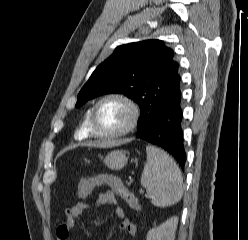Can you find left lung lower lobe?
I'll return each instance as SVG.
<instances>
[{
  "mask_svg": "<svg viewBox=\"0 0 248 240\" xmlns=\"http://www.w3.org/2000/svg\"><path fill=\"white\" fill-rule=\"evenodd\" d=\"M183 110L181 98L163 106L146 128L138 132V138L168 151L179 163L182 170L186 162L183 145Z\"/></svg>",
  "mask_w": 248,
  "mask_h": 240,
  "instance_id": "obj_1",
  "label": "left lung lower lobe"
}]
</instances>
